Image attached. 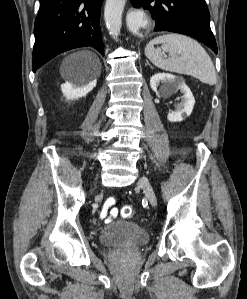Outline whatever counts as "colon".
<instances>
[{"label":"colon","mask_w":247,"mask_h":299,"mask_svg":"<svg viewBox=\"0 0 247 299\" xmlns=\"http://www.w3.org/2000/svg\"><path fill=\"white\" fill-rule=\"evenodd\" d=\"M134 214H135L134 208L130 205H125L121 209V215L124 218H131L134 216Z\"/></svg>","instance_id":"obj_1"}]
</instances>
